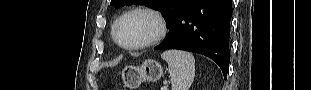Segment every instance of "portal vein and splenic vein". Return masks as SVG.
Here are the masks:
<instances>
[{
  "mask_svg": "<svg viewBox=\"0 0 311 90\" xmlns=\"http://www.w3.org/2000/svg\"><path fill=\"white\" fill-rule=\"evenodd\" d=\"M161 90H167V87H166V86H163V87L161 88Z\"/></svg>",
  "mask_w": 311,
  "mask_h": 90,
  "instance_id": "18ae733b",
  "label": "portal vein and splenic vein"
}]
</instances>
